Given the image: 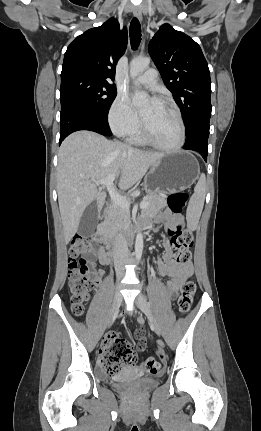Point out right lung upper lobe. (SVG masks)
I'll list each match as a JSON object with an SVG mask.
<instances>
[{"instance_id": "1", "label": "right lung upper lobe", "mask_w": 261, "mask_h": 431, "mask_svg": "<svg viewBox=\"0 0 261 431\" xmlns=\"http://www.w3.org/2000/svg\"><path fill=\"white\" fill-rule=\"evenodd\" d=\"M127 47V30L111 18L99 27L89 29L68 46L61 77L86 74L109 82L115 78V66Z\"/></svg>"}]
</instances>
